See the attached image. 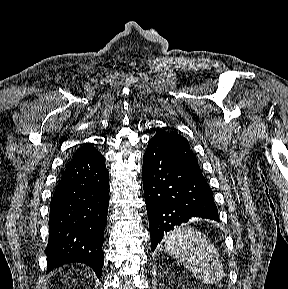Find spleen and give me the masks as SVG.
Here are the masks:
<instances>
[{
	"instance_id": "obj_1",
	"label": "spleen",
	"mask_w": 288,
	"mask_h": 289,
	"mask_svg": "<svg viewBox=\"0 0 288 289\" xmlns=\"http://www.w3.org/2000/svg\"><path fill=\"white\" fill-rule=\"evenodd\" d=\"M165 250L204 284H215L223 278L219 252L204 234L191 226L182 224L170 231L165 237Z\"/></svg>"
}]
</instances>
